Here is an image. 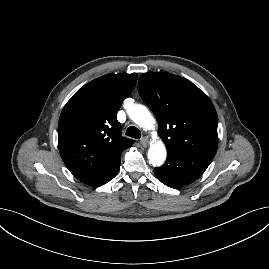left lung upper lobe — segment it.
I'll return each mask as SVG.
<instances>
[{
    "label": "left lung upper lobe",
    "instance_id": "obj_1",
    "mask_svg": "<svg viewBox=\"0 0 269 269\" xmlns=\"http://www.w3.org/2000/svg\"><path fill=\"white\" fill-rule=\"evenodd\" d=\"M138 91L156 116L167 150L215 156L218 117L211 100L189 80L170 73L139 77Z\"/></svg>",
    "mask_w": 269,
    "mask_h": 269
}]
</instances>
